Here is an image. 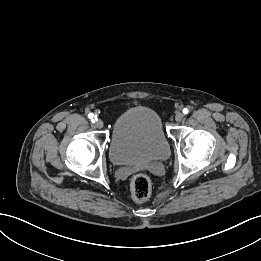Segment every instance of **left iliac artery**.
Returning a JSON list of instances; mask_svg holds the SVG:
<instances>
[{
    "label": "left iliac artery",
    "mask_w": 261,
    "mask_h": 261,
    "mask_svg": "<svg viewBox=\"0 0 261 261\" xmlns=\"http://www.w3.org/2000/svg\"><path fill=\"white\" fill-rule=\"evenodd\" d=\"M188 112H189V110H188L187 108H184V109H183V113H184V114H188Z\"/></svg>",
    "instance_id": "44dca946"
}]
</instances>
